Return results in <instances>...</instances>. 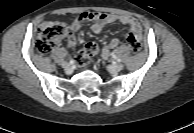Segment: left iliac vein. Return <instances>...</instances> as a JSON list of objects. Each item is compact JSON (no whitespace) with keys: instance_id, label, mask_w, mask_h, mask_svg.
<instances>
[{"instance_id":"left-iliac-vein-1","label":"left iliac vein","mask_w":194,"mask_h":133,"mask_svg":"<svg viewBox=\"0 0 194 133\" xmlns=\"http://www.w3.org/2000/svg\"><path fill=\"white\" fill-rule=\"evenodd\" d=\"M124 68V65L122 63H116L108 66V70L111 73H117L121 71Z\"/></svg>"}]
</instances>
